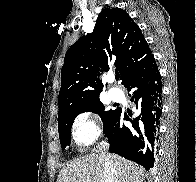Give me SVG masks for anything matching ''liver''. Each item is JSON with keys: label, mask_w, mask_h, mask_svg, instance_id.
I'll list each match as a JSON object with an SVG mask.
<instances>
[{"label": "liver", "mask_w": 196, "mask_h": 182, "mask_svg": "<svg viewBox=\"0 0 196 182\" xmlns=\"http://www.w3.org/2000/svg\"><path fill=\"white\" fill-rule=\"evenodd\" d=\"M116 166L119 182H143L144 169L118 155L107 154ZM104 158L88 154L61 169L56 182H104Z\"/></svg>", "instance_id": "6515ba94"}]
</instances>
